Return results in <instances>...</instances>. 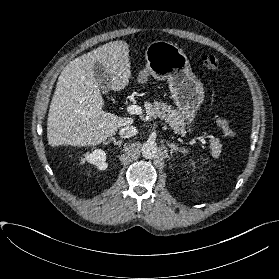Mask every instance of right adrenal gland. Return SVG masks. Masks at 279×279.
<instances>
[{"label":"right adrenal gland","instance_id":"2a0ac1e0","mask_svg":"<svg viewBox=\"0 0 279 279\" xmlns=\"http://www.w3.org/2000/svg\"><path fill=\"white\" fill-rule=\"evenodd\" d=\"M111 141H113V143H114L115 145H118V147H120L121 144H122V140H118V141H117L115 137H111V138H109V139L104 143V145H107V144L110 143Z\"/></svg>","mask_w":279,"mask_h":279}]
</instances>
